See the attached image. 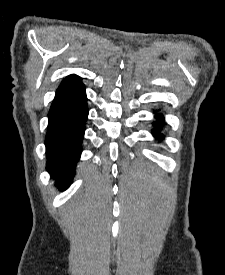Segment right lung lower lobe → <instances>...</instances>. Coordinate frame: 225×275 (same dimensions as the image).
Segmentation results:
<instances>
[{"instance_id": "right-lung-lower-lobe-1", "label": "right lung lower lobe", "mask_w": 225, "mask_h": 275, "mask_svg": "<svg viewBox=\"0 0 225 275\" xmlns=\"http://www.w3.org/2000/svg\"><path fill=\"white\" fill-rule=\"evenodd\" d=\"M88 117L87 97L80 81L60 85L52 101L45 138L47 171L62 190L69 187L82 152Z\"/></svg>"}]
</instances>
